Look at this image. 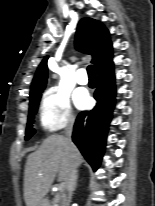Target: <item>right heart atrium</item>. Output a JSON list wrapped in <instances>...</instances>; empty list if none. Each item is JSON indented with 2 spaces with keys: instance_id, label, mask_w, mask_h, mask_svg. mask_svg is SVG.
Wrapping results in <instances>:
<instances>
[{
  "instance_id": "1",
  "label": "right heart atrium",
  "mask_w": 155,
  "mask_h": 206,
  "mask_svg": "<svg viewBox=\"0 0 155 206\" xmlns=\"http://www.w3.org/2000/svg\"><path fill=\"white\" fill-rule=\"evenodd\" d=\"M39 117L41 126L46 132L72 125L75 115L71 108L69 95L59 87L49 88L43 95Z\"/></svg>"
}]
</instances>
